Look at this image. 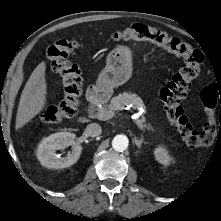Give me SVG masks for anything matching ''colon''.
<instances>
[{
	"label": "colon",
	"mask_w": 221,
	"mask_h": 221,
	"mask_svg": "<svg viewBox=\"0 0 221 221\" xmlns=\"http://www.w3.org/2000/svg\"><path fill=\"white\" fill-rule=\"evenodd\" d=\"M113 40L147 41L182 59L183 63L178 72L160 92L166 115L188 146L197 147L213 143L216 137L214 86L208 85L202 91L201 96L207 116V122L202 130L193 126L181 105L190 92L193 80L200 72L203 62L202 52L178 38L142 24L116 31ZM77 47L76 40L63 38L47 49L46 54L51 61V68L62 79L64 96L58 105L51 106L43 112L42 119L46 123H58L63 119L74 117L78 112L82 93L81 69L69 59Z\"/></svg>",
	"instance_id": "5ec220e1"
}]
</instances>
